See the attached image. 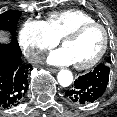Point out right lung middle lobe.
<instances>
[{
  "instance_id": "1",
  "label": "right lung middle lobe",
  "mask_w": 117,
  "mask_h": 117,
  "mask_svg": "<svg viewBox=\"0 0 117 117\" xmlns=\"http://www.w3.org/2000/svg\"><path fill=\"white\" fill-rule=\"evenodd\" d=\"M20 16L21 11L13 10H9L0 14V31H8L12 36H14Z\"/></svg>"
}]
</instances>
